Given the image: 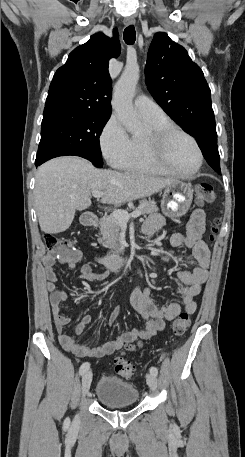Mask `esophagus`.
Listing matches in <instances>:
<instances>
[{"instance_id": "34e87169", "label": "esophagus", "mask_w": 245, "mask_h": 457, "mask_svg": "<svg viewBox=\"0 0 245 457\" xmlns=\"http://www.w3.org/2000/svg\"><path fill=\"white\" fill-rule=\"evenodd\" d=\"M123 22H124L125 25H134L135 24V18L133 16L126 17L123 20Z\"/></svg>"}]
</instances>
